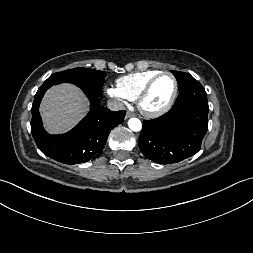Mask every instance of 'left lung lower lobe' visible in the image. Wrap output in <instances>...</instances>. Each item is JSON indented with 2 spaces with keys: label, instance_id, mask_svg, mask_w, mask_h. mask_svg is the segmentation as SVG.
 Returning a JSON list of instances; mask_svg holds the SVG:
<instances>
[{
  "label": "left lung lower lobe",
  "instance_id": "0a47b994",
  "mask_svg": "<svg viewBox=\"0 0 253 253\" xmlns=\"http://www.w3.org/2000/svg\"><path fill=\"white\" fill-rule=\"evenodd\" d=\"M208 101L203 86L195 81L179 91L172 109L153 120H144L138 145L145 157L172 164L200 150L208 130Z\"/></svg>",
  "mask_w": 253,
  "mask_h": 253
}]
</instances>
